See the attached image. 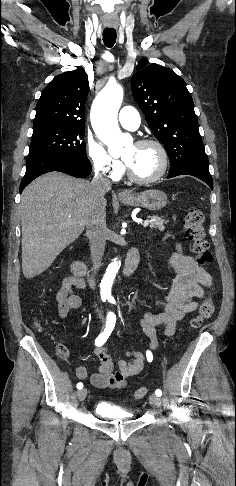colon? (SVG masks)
Segmentation results:
<instances>
[{"mask_svg": "<svg viewBox=\"0 0 236 486\" xmlns=\"http://www.w3.org/2000/svg\"><path fill=\"white\" fill-rule=\"evenodd\" d=\"M184 226L186 237L192 242V250L196 255L197 261L200 264L208 265L212 262L213 256L210 251L209 242L206 239V232L204 227V214L196 207H189L184 217ZM214 313V304L212 296L207 297L199 307L198 313L192 318L191 326L199 328L208 320ZM60 356L67 355V349L60 345L58 347ZM148 393L146 387H140L134 392L135 399H142Z\"/></svg>", "mask_w": 236, "mask_h": 486, "instance_id": "1", "label": "colon"}]
</instances>
